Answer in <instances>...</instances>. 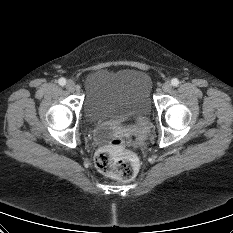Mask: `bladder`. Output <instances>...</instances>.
<instances>
[{
    "instance_id": "31cf9c89",
    "label": "bladder",
    "mask_w": 233,
    "mask_h": 233,
    "mask_svg": "<svg viewBox=\"0 0 233 233\" xmlns=\"http://www.w3.org/2000/svg\"><path fill=\"white\" fill-rule=\"evenodd\" d=\"M83 86V117L91 125L151 113L152 79L146 71L100 69L89 73Z\"/></svg>"
}]
</instances>
